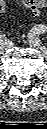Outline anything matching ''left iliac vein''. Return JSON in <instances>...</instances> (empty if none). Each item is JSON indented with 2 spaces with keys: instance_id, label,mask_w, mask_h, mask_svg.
I'll return each mask as SVG.
<instances>
[{
  "instance_id": "4c4485c4",
  "label": "left iliac vein",
  "mask_w": 47,
  "mask_h": 129,
  "mask_svg": "<svg viewBox=\"0 0 47 129\" xmlns=\"http://www.w3.org/2000/svg\"><path fill=\"white\" fill-rule=\"evenodd\" d=\"M29 43L33 48L39 50L44 57L46 56L45 46L40 42L37 37H30Z\"/></svg>"
}]
</instances>
